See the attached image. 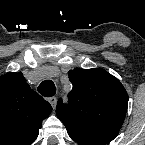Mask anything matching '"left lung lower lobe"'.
<instances>
[{
    "label": "left lung lower lobe",
    "instance_id": "obj_1",
    "mask_svg": "<svg viewBox=\"0 0 145 145\" xmlns=\"http://www.w3.org/2000/svg\"><path fill=\"white\" fill-rule=\"evenodd\" d=\"M69 136L80 145H105L111 142L118 134V128L110 127H82L66 126Z\"/></svg>",
    "mask_w": 145,
    "mask_h": 145
}]
</instances>
